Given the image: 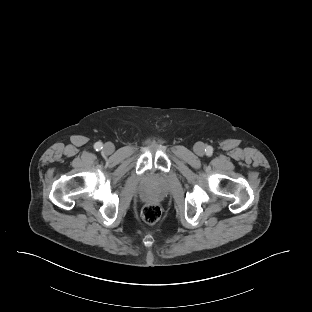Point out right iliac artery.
Masks as SVG:
<instances>
[{
  "label": "right iliac artery",
  "instance_id": "1",
  "mask_svg": "<svg viewBox=\"0 0 312 312\" xmlns=\"http://www.w3.org/2000/svg\"><path fill=\"white\" fill-rule=\"evenodd\" d=\"M94 148L96 151H99L103 148V144L101 142H97L95 143Z\"/></svg>",
  "mask_w": 312,
  "mask_h": 312
}]
</instances>
